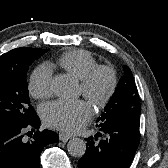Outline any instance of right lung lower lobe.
Listing matches in <instances>:
<instances>
[{
    "label": "right lung lower lobe",
    "instance_id": "98d812e1",
    "mask_svg": "<svg viewBox=\"0 0 168 168\" xmlns=\"http://www.w3.org/2000/svg\"><path fill=\"white\" fill-rule=\"evenodd\" d=\"M38 116L29 122H0V168H40L39 156L43 148L59 140L58 135L49 130L38 131ZM25 128H33L35 133L30 141L23 135Z\"/></svg>",
    "mask_w": 168,
    "mask_h": 168
}]
</instances>
